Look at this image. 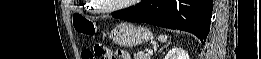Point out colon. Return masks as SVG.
Masks as SVG:
<instances>
[{"label": "colon", "mask_w": 261, "mask_h": 59, "mask_svg": "<svg viewBox=\"0 0 261 59\" xmlns=\"http://www.w3.org/2000/svg\"><path fill=\"white\" fill-rule=\"evenodd\" d=\"M73 25L76 31L86 37L93 38L97 31V25L93 19L82 17L77 15L73 19ZM120 53L114 52L107 46L96 43L93 51L86 50L82 53L84 59H94L96 57L100 59H116Z\"/></svg>", "instance_id": "obj_1"}]
</instances>
